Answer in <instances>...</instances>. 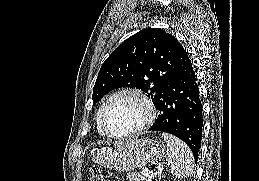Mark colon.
<instances>
[{
    "mask_svg": "<svg viewBox=\"0 0 259 181\" xmlns=\"http://www.w3.org/2000/svg\"><path fill=\"white\" fill-rule=\"evenodd\" d=\"M90 181H108V180L102 173L95 172L91 175Z\"/></svg>",
    "mask_w": 259,
    "mask_h": 181,
    "instance_id": "colon-1",
    "label": "colon"
}]
</instances>
